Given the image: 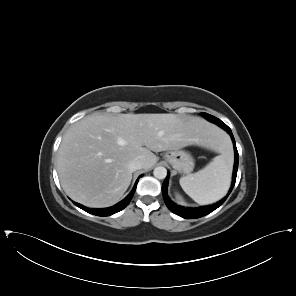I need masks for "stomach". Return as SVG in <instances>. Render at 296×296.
<instances>
[{"label":"stomach","instance_id":"0dacf381","mask_svg":"<svg viewBox=\"0 0 296 296\" xmlns=\"http://www.w3.org/2000/svg\"><path fill=\"white\" fill-rule=\"evenodd\" d=\"M164 159L179 173L189 174L194 169V159L185 150H173L166 152Z\"/></svg>","mask_w":296,"mask_h":296}]
</instances>
